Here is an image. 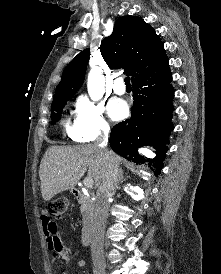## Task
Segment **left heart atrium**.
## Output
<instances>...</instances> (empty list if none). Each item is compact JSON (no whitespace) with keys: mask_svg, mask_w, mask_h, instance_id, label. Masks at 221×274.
I'll use <instances>...</instances> for the list:
<instances>
[{"mask_svg":"<svg viewBox=\"0 0 221 274\" xmlns=\"http://www.w3.org/2000/svg\"><path fill=\"white\" fill-rule=\"evenodd\" d=\"M128 112L129 107L122 99H112L108 104V113L113 120L124 119Z\"/></svg>","mask_w":221,"mask_h":274,"instance_id":"obj_1","label":"left heart atrium"}]
</instances>
